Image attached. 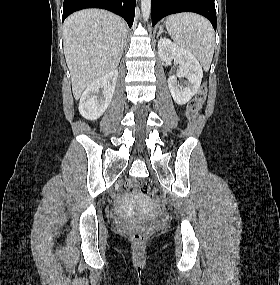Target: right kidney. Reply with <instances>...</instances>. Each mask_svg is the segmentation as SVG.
Wrapping results in <instances>:
<instances>
[{
    "instance_id": "ca27d5eb",
    "label": "right kidney",
    "mask_w": 280,
    "mask_h": 285,
    "mask_svg": "<svg viewBox=\"0 0 280 285\" xmlns=\"http://www.w3.org/2000/svg\"><path fill=\"white\" fill-rule=\"evenodd\" d=\"M117 78L118 71L112 70L85 89L79 102V112L85 119L96 120L103 115L112 100ZM100 88H103L101 96L98 95Z\"/></svg>"
}]
</instances>
